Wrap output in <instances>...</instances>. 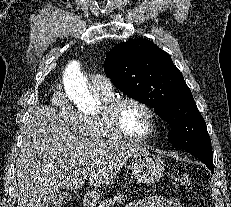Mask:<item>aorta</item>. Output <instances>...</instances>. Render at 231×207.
Returning <instances> with one entry per match:
<instances>
[{"mask_svg":"<svg viewBox=\"0 0 231 207\" xmlns=\"http://www.w3.org/2000/svg\"><path fill=\"white\" fill-rule=\"evenodd\" d=\"M63 83L68 99L79 109L94 107L97 104L88 89L86 78L80 71L78 61L68 64L64 72Z\"/></svg>","mask_w":231,"mask_h":207,"instance_id":"aorta-1","label":"aorta"}]
</instances>
